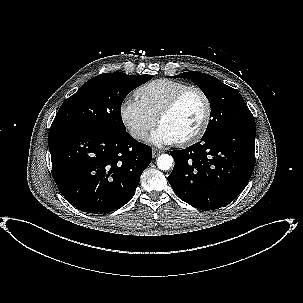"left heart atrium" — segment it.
<instances>
[{
	"label": "left heart atrium",
	"mask_w": 303,
	"mask_h": 303,
	"mask_svg": "<svg viewBox=\"0 0 303 303\" xmlns=\"http://www.w3.org/2000/svg\"><path fill=\"white\" fill-rule=\"evenodd\" d=\"M149 140L156 145H170L177 142L176 137L163 126H159L154 130Z\"/></svg>",
	"instance_id": "1"
}]
</instances>
